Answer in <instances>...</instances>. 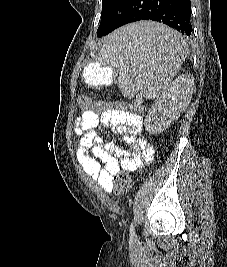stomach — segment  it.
Listing matches in <instances>:
<instances>
[{"label":"stomach","instance_id":"stomach-1","mask_svg":"<svg viewBox=\"0 0 227 267\" xmlns=\"http://www.w3.org/2000/svg\"><path fill=\"white\" fill-rule=\"evenodd\" d=\"M125 69V65L122 66ZM115 74V66H102L101 63H90L83 71L84 81L89 85H104L110 84Z\"/></svg>","mask_w":227,"mask_h":267}]
</instances>
